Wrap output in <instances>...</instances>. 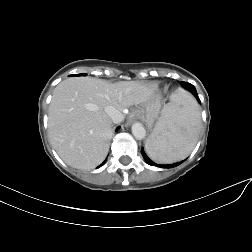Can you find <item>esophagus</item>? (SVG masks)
Wrapping results in <instances>:
<instances>
[{
    "instance_id": "obj_1",
    "label": "esophagus",
    "mask_w": 252,
    "mask_h": 252,
    "mask_svg": "<svg viewBox=\"0 0 252 252\" xmlns=\"http://www.w3.org/2000/svg\"><path fill=\"white\" fill-rule=\"evenodd\" d=\"M135 119V112L130 113L129 117L127 118L126 121V126L131 125V123L134 121Z\"/></svg>"
}]
</instances>
